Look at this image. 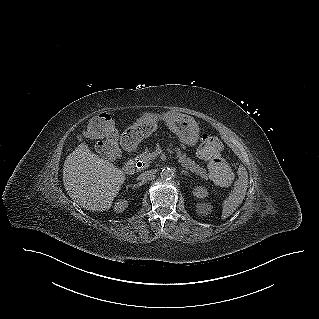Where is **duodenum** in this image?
<instances>
[{
	"label": "duodenum",
	"instance_id": "1",
	"mask_svg": "<svg viewBox=\"0 0 319 319\" xmlns=\"http://www.w3.org/2000/svg\"><path fill=\"white\" fill-rule=\"evenodd\" d=\"M122 146L128 150V151H132L135 149L136 146V140L133 136H125L122 139ZM137 166L136 163L133 161H127L123 167H122V171L124 174L126 175H131L135 172Z\"/></svg>",
	"mask_w": 319,
	"mask_h": 319
}]
</instances>
